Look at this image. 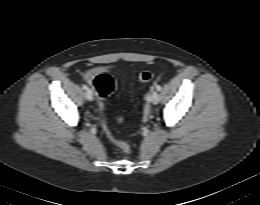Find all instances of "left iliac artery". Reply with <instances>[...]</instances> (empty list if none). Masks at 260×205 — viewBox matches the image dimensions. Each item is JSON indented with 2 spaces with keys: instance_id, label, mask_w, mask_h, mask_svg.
<instances>
[{
  "instance_id": "44dca946",
  "label": "left iliac artery",
  "mask_w": 260,
  "mask_h": 205,
  "mask_svg": "<svg viewBox=\"0 0 260 205\" xmlns=\"http://www.w3.org/2000/svg\"><path fill=\"white\" fill-rule=\"evenodd\" d=\"M156 89H157V91H161L162 88H161L160 85H157V86H156Z\"/></svg>"
}]
</instances>
